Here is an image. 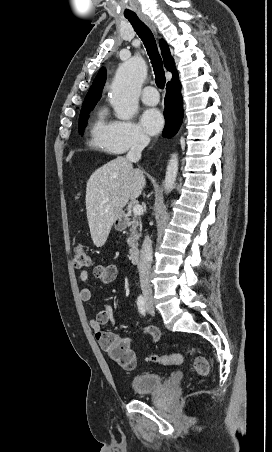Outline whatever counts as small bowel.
Returning a JSON list of instances; mask_svg holds the SVG:
<instances>
[{"instance_id": "c3829d8e", "label": "small bowel", "mask_w": 272, "mask_h": 452, "mask_svg": "<svg viewBox=\"0 0 272 452\" xmlns=\"http://www.w3.org/2000/svg\"><path fill=\"white\" fill-rule=\"evenodd\" d=\"M93 275L96 279L104 284L112 283L118 276V268L115 264L95 265L93 268ZM80 280L85 284L81 289L80 298L84 302H90L92 300V289L87 285L89 280V274L86 270L81 271L79 275ZM105 324H115L113 309L110 305H103L102 309L98 311L96 316L89 321V325L94 332L95 339L98 342L100 348L109 353L110 349L115 343L121 339L120 335L113 331H104L102 329ZM135 324V321L131 323V326ZM144 334L148 335L152 339V343H156L160 339V332L154 326H146L144 328Z\"/></svg>"}]
</instances>
